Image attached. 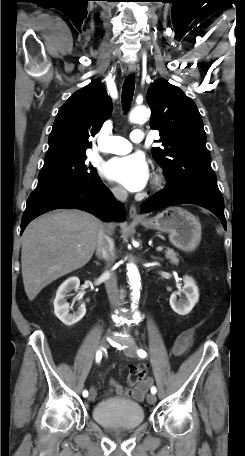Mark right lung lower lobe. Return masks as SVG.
I'll return each instance as SVG.
<instances>
[{"label":"right lung lower lobe","instance_id":"obj_1","mask_svg":"<svg viewBox=\"0 0 245 456\" xmlns=\"http://www.w3.org/2000/svg\"><path fill=\"white\" fill-rule=\"evenodd\" d=\"M58 208H77L106 221L125 219L124 207L114 205L111 192L99 178L90 183L32 192L23 214L21 234L34 218Z\"/></svg>","mask_w":245,"mask_h":456}]
</instances>
